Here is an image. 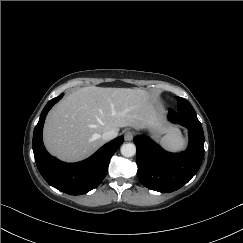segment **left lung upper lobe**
Instances as JSON below:
<instances>
[{
    "label": "left lung upper lobe",
    "instance_id": "5c2ea615",
    "mask_svg": "<svg viewBox=\"0 0 243 243\" xmlns=\"http://www.w3.org/2000/svg\"><path fill=\"white\" fill-rule=\"evenodd\" d=\"M178 101V110L177 112L191 115V116H196V112L191 106V104L184 98L177 97Z\"/></svg>",
    "mask_w": 243,
    "mask_h": 243
}]
</instances>
